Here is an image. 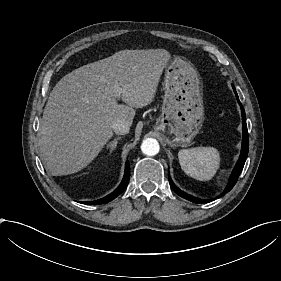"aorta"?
<instances>
[{
    "label": "aorta",
    "instance_id": "1",
    "mask_svg": "<svg viewBox=\"0 0 281 281\" xmlns=\"http://www.w3.org/2000/svg\"><path fill=\"white\" fill-rule=\"evenodd\" d=\"M141 150L142 152L147 156H154L158 154L160 150L159 143L154 138H147L143 140L141 144Z\"/></svg>",
    "mask_w": 281,
    "mask_h": 281
}]
</instances>
